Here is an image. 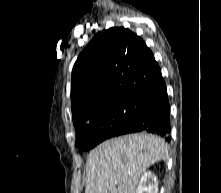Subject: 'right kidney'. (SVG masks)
<instances>
[{
  "label": "right kidney",
  "instance_id": "right-kidney-1",
  "mask_svg": "<svg viewBox=\"0 0 221 193\" xmlns=\"http://www.w3.org/2000/svg\"><path fill=\"white\" fill-rule=\"evenodd\" d=\"M136 193H158V180L151 171L141 177Z\"/></svg>",
  "mask_w": 221,
  "mask_h": 193
}]
</instances>
